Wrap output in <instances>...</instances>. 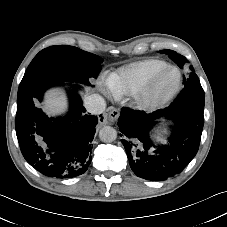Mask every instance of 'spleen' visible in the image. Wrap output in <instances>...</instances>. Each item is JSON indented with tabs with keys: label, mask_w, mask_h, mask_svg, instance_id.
<instances>
[{
	"label": "spleen",
	"mask_w": 227,
	"mask_h": 227,
	"mask_svg": "<svg viewBox=\"0 0 227 227\" xmlns=\"http://www.w3.org/2000/svg\"><path fill=\"white\" fill-rule=\"evenodd\" d=\"M157 140L161 141L162 143H166V140L164 138L159 137V136L157 137Z\"/></svg>",
	"instance_id": "3e777b00"
}]
</instances>
